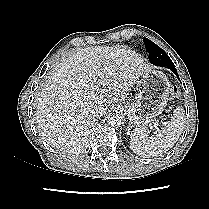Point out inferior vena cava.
I'll use <instances>...</instances> for the list:
<instances>
[{
    "label": "inferior vena cava",
    "instance_id": "inferior-vena-cava-1",
    "mask_svg": "<svg viewBox=\"0 0 209 209\" xmlns=\"http://www.w3.org/2000/svg\"><path fill=\"white\" fill-rule=\"evenodd\" d=\"M93 116H94V118H96V119H97V118H99V116H100V115H99V113H97V112H96V113H94V115H93Z\"/></svg>",
    "mask_w": 209,
    "mask_h": 209
}]
</instances>
